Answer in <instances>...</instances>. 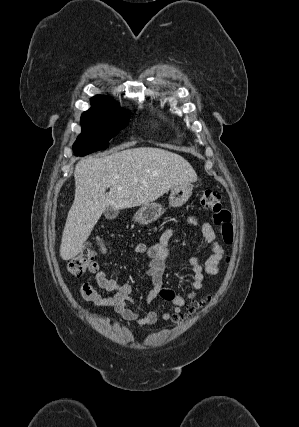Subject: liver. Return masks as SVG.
<instances>
[{
	"instance_id": "6515ba94",
	"label": "liver",
	"mask_w": 299,
	"mask_h": 427,
	"mask_svg": "<svg viewBox=\"0 0 299 427\" xmlns=\"http://www.w3.org/2000/svg\"><path fill=\"white\" fill-rule=\"evenodd\" d=\"M74 178L75 198L60 245V256L65 261L84 250L105 208L121 210L149 204L177 185L197 181V174L176 153L140 147L80 160ZM107 188L110 191L106 193Z\"/></svg>"
}]
</instances>
